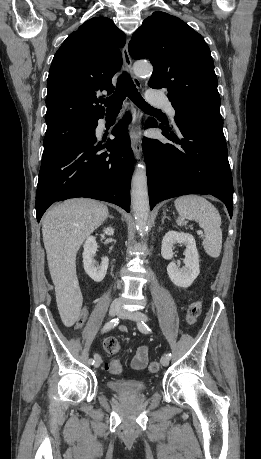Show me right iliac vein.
Wrapping results in <instances>:
<instances>
[{"instance_id": "obj_1", "label": "right iliac vein", "mask_w": 261, "mask_h": 459, "mask_svg": "<svg viewBox=\"0 0 261 459\" xmlns=\"http://www.w3.org/2000/svg\"><path fill=\"white\" fill-rule=\"evenodd\" d=\"M122 308L120 303L114 302L111 304L109 309L110 316H116L121 312ZM102 363L101 357L98 355L95 359L94 367L98 368Z\"/></svg>"}]
</instances>
